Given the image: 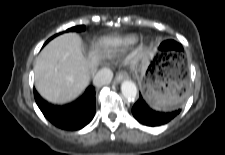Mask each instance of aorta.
Returning a JSON list of instances; mask_svg holds the SVG:
<instances>
[{
    "label": "aorta",
    "instance_id": "1",
    "mask_svg": "<svg viewBox=\"0 0 225 155\" xmlns=\"http://www.w3.org/2000/svg\"><path fill=\"white\" fill-rule=\"evenodd\" d=\"M121 92L127 100L134 101L137 96V87L132 81L126 80L121 84Z\"/></svg>",
    "mask_w": 225,
    "mask_h": 155
}]
</instances>
